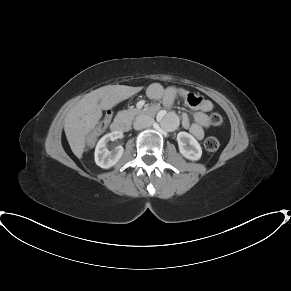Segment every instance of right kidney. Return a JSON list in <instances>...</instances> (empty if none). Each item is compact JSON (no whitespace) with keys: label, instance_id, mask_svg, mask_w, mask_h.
I'll list each match as a JSON object with an SVG mask.
<instances>
[{"label":"right kidney","instance_id":"1","mask_svg":"<svg viewBox=\"0 0 291 291\" xmlns=\"http://www.w3.org/2000/svg\"><path fill=\"white\" fill-rule=\"evenodd\" d=\"M123 137V133L120 131H114L104 135L97 143L95 148V162L98 166L104 169H108L114 166L121 158L124 149L122 146H117L113 150L109 151L107 144L109 141H115Z\"/></svg>","mask_w":291,"mask_h":291}]
</instances>
